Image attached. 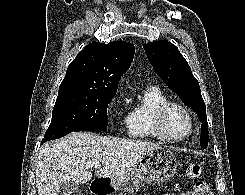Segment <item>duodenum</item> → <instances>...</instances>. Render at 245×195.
<instances>
[{
    "instance_id": "1",
    "label": "duodenum",
    "mask_w": 245,
    "mask_h": 195,
    "mask_svg": "<svg viewBox=\"0 0 245 195\" xmlns=\"http://www.w3.org/2000/svg\"><path fill=\"white\" fill-rule=\"evenodd\" d=\"M90 190L93 195H111L113 188L109 181L99 179L92 181Z\"/></svg>"
}]
</instances>
